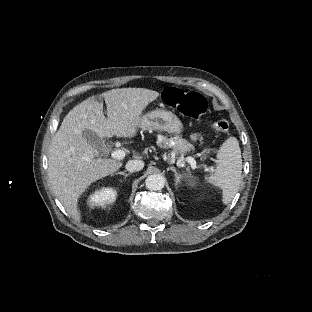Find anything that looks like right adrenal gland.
Segmentation results:
<instances>
[{"instance_id": "1", "label": "right adrenal gland", "mask_w": 312, "mask_h": 312, "mask_svg": "<svg viewBox=\"0 0 312 312\" xmlns=\"http://www.w3.org/2000/svg\"><path fill=\"white\" fill-rule=\"evenodd\" d=\"M118 176H124V178L126 179V177L129 175L127 173L121 172L117 174Z\"/></svg>"}]
</instances>
